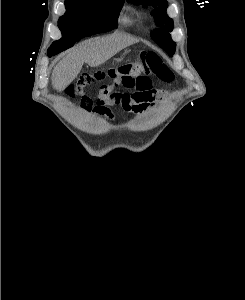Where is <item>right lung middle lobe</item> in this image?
Returning <instances> with one entry per match:
<instances>
[{"label":"right lung middle lobe","mask_w":245,"mask_h":300,"mask_svg":"<svg viewBox=\"0 0 245 300\" xmlns=\"http://www.w3.org/2000/svg\"><path fill=\"white\" fill-rule=\"evenodd\" d=\"M123 0H65L66 13L58 21L62 38L52 43L48 53L55 55L64 51L84 37L78 23L86 19L97 20L104 32L117 27V19Z\"/></svg>","instance_id":"1"}]
</instances>
